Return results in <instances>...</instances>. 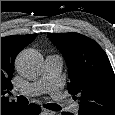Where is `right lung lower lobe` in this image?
<instances>
[{"mask_svg":"<svg viewBox=\"0 0 115 115\" xmlns=\"http://www.w3.org/2000/svg\"><path fill=\"white\" fill-rule=\"evenodd\" d=\"M41 111V108L36 104H20L14 108L7 109L1 115H37Z\"/></svg>","mask_w":115,"mask_h":115,"instance_id":"right-lung-lower-lobe-1","label":"right lung lower lobe"}]
</instances>
